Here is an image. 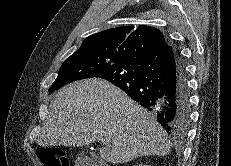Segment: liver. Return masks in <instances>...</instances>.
I'll return each instance as SVG.
<instances>
[{"label":"liver","instance_id":"liver-1","mask_svg":"<svg viewBox=\"0 0 231 166\" xmlns=\"http://www.w3.org/2000/svg\"><path fill=\"white\" fill-rule=\"evenodd\" d=\"M102 138L108 142L100 156L113 164L141 156H165L171 150L154 115L98 78L70 83L56 93L36 142L42 147L83 146Z\"/></svg>","mask_w":231,"mask_h":166}]
</instances>
